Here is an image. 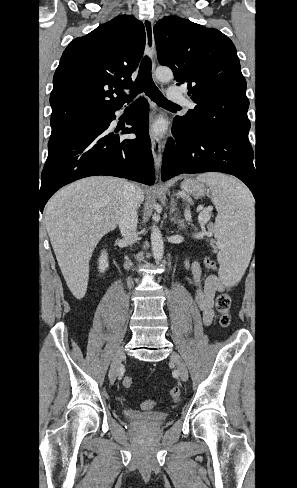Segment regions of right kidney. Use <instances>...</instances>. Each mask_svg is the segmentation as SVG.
<instances>
[{
	"instance_id": "1",
	"label": "right kidney",
	"mask_w": 297,
	"mask_h": 488,
	"mask_svg": "<svg viewBox=\"0 0 297 488\" xmlns=\"http://www.w3.org/2000/svg\"><path fill=\"white\" fill-rule=\"evenodd\" d=\"M98 264H99V267H98L99 268V271L101 273H104L107 270L108 266H109V264H108V255H107L106 251H103L102 252V254H101L100 258H99Z\"/></svg>"
}]
</instances>
